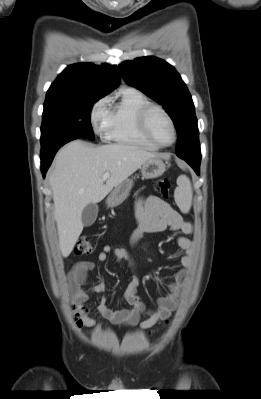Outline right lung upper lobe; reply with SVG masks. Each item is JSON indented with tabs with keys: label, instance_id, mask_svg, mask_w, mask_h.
I'll list each match as a JSON object with an SVG mask.
<instances>
[{
	"label": "right lung upper lobe",
	"instance_id": "obj_1",
	"mask_svg": "<svg viewBox=\"0 0 261 399\" xmlns=\"http://www.w3.org/2000/svg\"><path fill=\"white\" fill-rule=\"evenodd\" d=\"M119 83L117 66L77 63L68 66L57 77L46 97H103Z\"/></svg>",
	"mask_w": 261,
	"mask_h": 399
}]
</instances>
